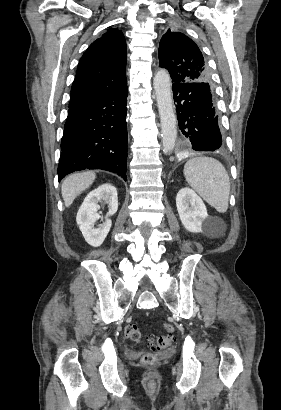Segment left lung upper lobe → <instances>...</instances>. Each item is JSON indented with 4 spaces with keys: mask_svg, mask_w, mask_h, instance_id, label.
Here are the masks:
<instances>
[{
    "mask_svg": "<svg viewBox=\"0 0 281 410\" xmlns=\"http://www.w3.org/2000/svg\"><path fill=\"white\" fill-rule=\"evenodd\" d=\"M159 64L173 83L211 82L210 73L198 46L179 31H168L159 45Z\"/></svg>",
    "mask_w": 281,
    "mask_h": 410,
    "instance_id": "1",
    "label": "left lung upper lobe"
}]
</instances>
